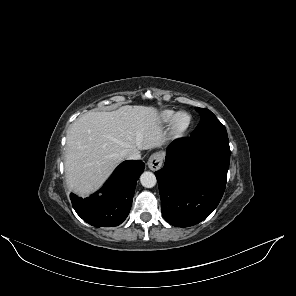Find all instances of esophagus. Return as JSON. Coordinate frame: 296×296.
Masks as SVG:
<instances>
[{
    "mask_svg": "<svg viewBox=\"0 0 296 296\" xmlns=\"http://www.w3.org/2000/svg\"><path fill=\"white\" fill-rule=\"evenodd\" d=\"M163 157L160 153H155L150 156L147 165L148 168L152 171L158 170L162 166Z\"/></svg>",
    "mask_w": 296,
    "mask_h": 296,
    "instance_id": "obj_1",
    "label": "esophagus"
}]
</instances>
